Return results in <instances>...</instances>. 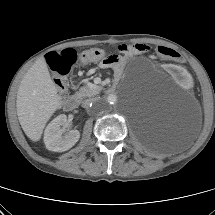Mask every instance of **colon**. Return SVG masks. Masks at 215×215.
I'll return each instance as SVG.
<instances>
[{
	"mask_svg": "<svg viewBox=\"0 0 215 215\" xmlns=\"http://www.w3.org/2000/svg\"><path fill=\"white\" fill-rule=\"evenodd\" d=\"M129 45H120L119 52H126ZM133 48V45H130ZM156 53L159 57L168 60H178L180 63L185 64L187 59L179 54L176 50L167 46H158ZM78 58V54L73 49H64L60 52H49L46 56V61L53 72L54 82L59 93H64L67 89L66 76L71 69V66ZM80 58L84 62H90L98 59H106L105 52L101 49L93 48L83 51Z\"/></svg>",
	"mask_w": 215,
	"mask_h": 215,
	"instance_id": "obj_1",
	"label": "colon"
}]
</instances>
